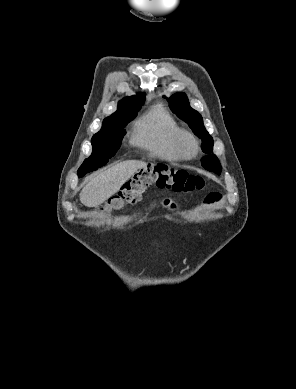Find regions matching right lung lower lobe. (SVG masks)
I'll use <instances>...</instances> for the list:
<instances>
[{
    "label": "right lung lower lobe",
    "mask_w": 296,
    "mask_h": 389,
    "mask_svg": "<svg viewBox=\"0 0 296 389\" xmlns=\"http://www.w3.org/2000/svg\"><path fill=\"white\" fill-rule=\"evenodd\" d=\"M98 168H99L98 166H89V167H83V168L80 167L79 170H78V176L82 177L86 173L94 171V170H97Z\"/></svg>",
    "instance_id": "right-lung-lower-lobe-1"
}]
</instances>
